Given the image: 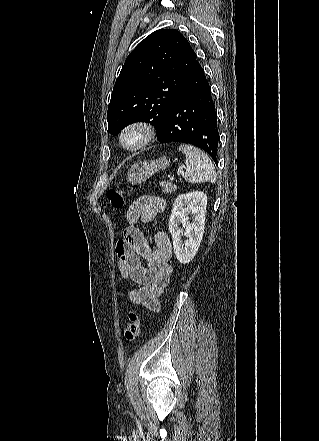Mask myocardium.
I'll list each match as a JSON object with an SVG mask.
<instances>
[{"label": "myocardium", "mask_w": 319, "mask_h": 441, "mask_svg": "<svg viewBox=\"0 0 319 441\" xmlns=\"http://www.w3.org/2000/svg\"><path fill=\"white\" fill-rule=\"evenodd\" d=\"M155 130L146 121L136 120L127 124L119 134L121 147L129 152H136L147 146L154 138Z\"/></svg>", "instance_id": "1"}]
</instances>
